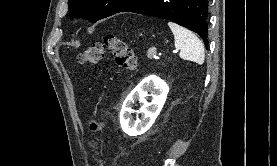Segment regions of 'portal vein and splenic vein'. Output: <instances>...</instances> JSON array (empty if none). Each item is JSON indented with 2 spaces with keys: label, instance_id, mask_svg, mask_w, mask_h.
Here are the masks:
<instances>
[{
  "label": "portal vein and splenic vein",
  "instance_id": "18ae733b",
  "mask_svg": "<svg viewBox=\"0 0 277 166\" xmlns=\"http://www.w3.org/2000/svg\"><path fill=\"white\" fill-rule=\"evenodd\" d=\"M175 53L177 52V50L174 51ZM151 58H154V59H158L159 57L156 55V53H152L150 55Z\"/></svg>",
  "mask_w": 277,
  "mask_h": 166
}]
</instances>
